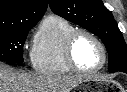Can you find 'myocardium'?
I'll return each instance as SVG.
<instances>
[{
  "label": "myocardium",
  "mask_w": 127,
  "mask_h": 92,
  "mask_svg": "<svg viewBox=\"0 0 127 92\" xmlns=\"http://www.w3.org/2000/svg\"><path fill=\"white\" fill-rule=\"evenodd\" d=\"M82 35H86V36L90 37L98 45V47L101 51L102 62L95 69H92V70L81 69L76 63V60L74 57V46H75V43H76V40L78 39V37H80ZM64 56H65V60H66L67 65L69 66V68L78 74L97 73V72L101 71L107 63V51H106V48H105L103 42L100 40V38L96 34H94L93 32H91L87 29H74L67 36L65 45H64Z\"/></svg>",
  "instance_id": "1"
}]
</instances>
